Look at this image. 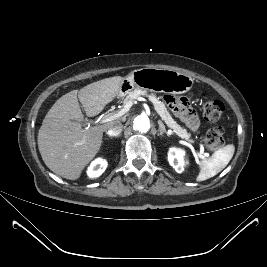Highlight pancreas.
Listing matches in <instances>:
<instances>
[{
    "label": "pancreas",
    "instance_id": "cf45deb5",
    "mask_svg": "<svg viewBox=\"0 0 267 267\" xmlns=\"http://www.w3.org/2000/svg\"><path fill=\"white\" fill-rule=\"evenodd\" d=\"M139 96H146L149 98V100L153 103L157 113L161 116L167 126L170 127L176 135H178L182 139H185L189 143L194 142L190 138L191 133L187 132L185 128H182L179 124L176 123V121H174L170 113L167 111L165 104L161 102L155 94H148L144 90L135 89L134 91H131L123 100L124 106H126L129 102L134 103Z\"/></svg>",
    "mask_w": 267,
    "mask_h": 267
}]
</instances>
